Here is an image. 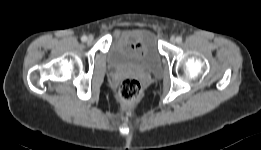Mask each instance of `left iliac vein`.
<instances>
[{
    "mask_svg": "<svg viewBox=\"0 0 261 150\" xmlns=\"http://www.w3.org/2000/svg\"><path fill=\"white\" fill-rule=\"evenodd\" d=\"M170 41H171V43H175V42H176V38H175L174 36H172V37L170 38Z\"/></svg>",
    "mask_w": 261,
    "mask_h": 150,
    "instance_id": "1",
    "label": "left iliac vein"
}]
</instances>
